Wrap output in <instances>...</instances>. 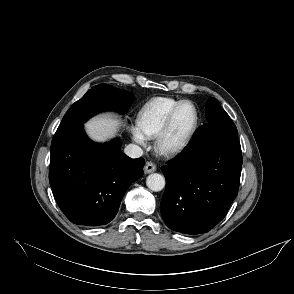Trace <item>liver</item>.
Masks as SVG:
<instances>
[{
    "label": "liver",
    "instance_id": "obj_1",
    "mask_svg": "<svg viewBox=\"0 0 294 294\" xmlns=\"http://www.w3.org/2000/svg\"><path fill=\"white\" fill-rule=\"evenodd\" d=\"M121 122L109 115L94 117L85 124L88 136L94 141H105L114 136Z\"/></svg>",
    "mask_w": 294,
    "mask_h": 294
}]
</instances>
